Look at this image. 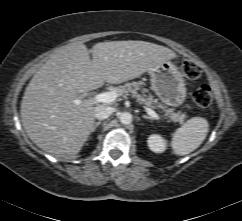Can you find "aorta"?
<instances>
[{
	"label": "aorta",
	"instance_id": "1",
	"mask_svg": "<svg viewBox=\"0 0 242 221\" xmlns=\"http://www.w3.org/2000/svg\"><path fill=\"white\" fill-rule=\"evenodd\" d=\"M132 115L129 112H123L119 116V120L124 125H129L132 122Z\"/></svg>",
	"mask_w": 242,
	"mask_h": 221
}]
</instances>
